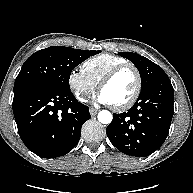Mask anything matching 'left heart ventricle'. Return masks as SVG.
<instances>
[{
	"label": "left heart ventricle",
	"mask_w": 193,
	"mask_h": 193,
	"mask_svg": "<svg viewBox=\"0 0 193 193\" xmlns=\"http://www.w3.org/2000/svg\"><path fill=\"white\" fill-rule=\"evenodd\" d=\"M136 87V75L132 69L120 72L101 91L112 105L126 102L134 93Z\"/></svg>",
	"instance_id": "1"
}]
</instances>
